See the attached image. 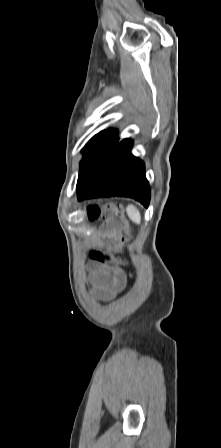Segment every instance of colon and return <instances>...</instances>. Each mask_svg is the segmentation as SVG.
I'll list each match as a JSON object with an SVG mask.
<instances>
[{
  "label": "colon",
  "instance_id": "colon-1",
  "mask_svg": "<svg viewBox=\"0 0 221 448\" xmlns=\"http://www.w3.org/2000/svg\"><path fill=\"white\" fill-rule=\"evenodd\" d=\"M107 209L110 214L116 218L113 226L116 227L117 224H121L127 231L130 230V224L125 219L122 206L118 203H111L107 205ZM89 217L91 219L97 218L102 214V209L99 206H92L88 211ZM91 258L97 263L111 264V265H124L125 260L121 257L101 250H94L91 252Z\"/></svg>",
  "mask_w": 221,
  "mask_h": 448
}]
</instances>
